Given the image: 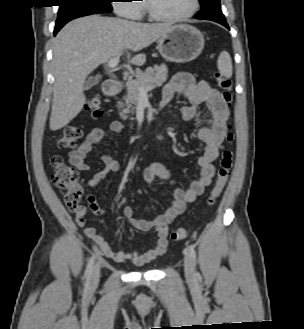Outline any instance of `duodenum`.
Returning <instances> with one entry per match:
<instances>
[{
    "label": "duodenum",
    "mask_w": 304,
    "mask_h": 329,
    "mask_svg": "<svg viewBox=\"0 0 304 329\" xmlns=\"http://www.w3.org/2000/svg\"><path fill=\"white\" fill-rule=\"evenodd\" d=\"M120 83L116 79H109L103 85V93L107 97H112L118 94Z\"/></svg>",
    "instance_id": "410a0bca"
}]
</instances>
